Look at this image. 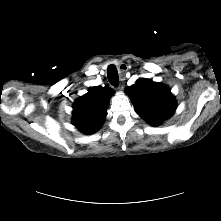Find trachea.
<instances>
[{"mask_svg":"<svg viewBox=\"0 0 221 221\" xmlns=\"http://www.w3.org/2000/svg\"><path fill=\"white\" fill-rule=\"evenodd\" d=\"M108 80L113 86H118L119 78L118 72L114 65H110L107 69Z\"/></svg>","mask_w":221,"mask_h":221,"instance_id":"trachea-1","label":"trachea"}]
</instances>
